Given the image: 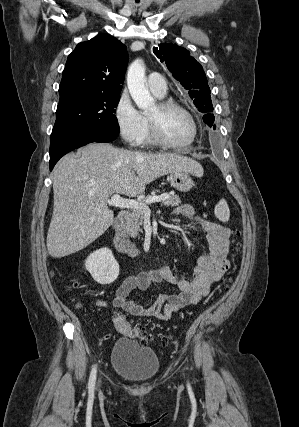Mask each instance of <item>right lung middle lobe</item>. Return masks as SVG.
<instances>
[{"label":"right lung middle lobe","instance_id":"obj_1","mask_svg":"<svg viewBox=\"0 0 299 427\" xmlns=\"http://www.w3.org/2000/svg\"><path fill=\"white\" fill-rule=\"evenodd\" d=\"M119 93H79L59 100L50 140L70 132L94 131L118 134L115 116Z\"/></svg>","mask_w":299,"mask_h":427}]
</instances>
